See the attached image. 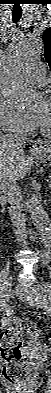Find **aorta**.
Returning <instances> with one entry per match:
<instances>
[{"instance_id":"1","label":"aorta","mask_w":51,"mask_h":393,"mask_svg":"<svg viewBox=\"0 0 51 393\" xmlns=\"http://www.w3.org/2000/svg\"><path fill=\"white\" fill-rule=\"evenodd\" d=\"M42 53V40L26 35L13 39L8 46L2 63V92L19 112H31L40 104V98L29 83L27 73L37 63ZM27 209L43 239V262L49 263L51 262L50 218L35 196L28 199Z\"/></svg>"}]
</instances>
